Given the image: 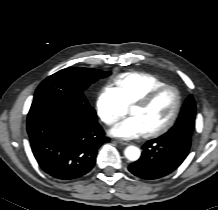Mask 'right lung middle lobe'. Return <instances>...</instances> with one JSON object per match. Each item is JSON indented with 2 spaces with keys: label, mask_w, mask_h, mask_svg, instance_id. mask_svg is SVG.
I'll return each mask as SVG.
<instances>
[{
  "label": "right lung middle lobe",
  "mask_w": 218,
  "mask_h": 210,
  "mask_svg": "<svg viewBox=\"0 0 218 210\" xmlns=\"http://www.w3.org/2000/svg\"><path fill=\"white\" fill-rule=\"evenodd\" d=\"M111 74L92 68L70 67L46 78L37 88L34 100L54 99L89 108L83 92L92 83Z\"/></svg>",
  "instance_id": "right-lung-middle-lobe-1"
}]
</instances>
